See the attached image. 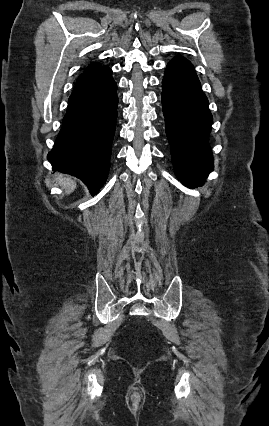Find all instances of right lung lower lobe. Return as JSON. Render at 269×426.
<instances>
[{"label": "right lung lower lobe", "instance_id": "obj_1", "mask_svg": "<svg viewBox=\"0 0 269 426\" xmlns=\"http://www.w3.org/2000/svg\"><path fill=\"white\" fill-rule=\"evenodd\" d=\"M116 89L107 66L80 74L62 128L48 154L53 169L81 179L92 195L108 177L117 119Z\"/></svg>", "mask_w": 269, "mask_h": 426}]
</instances>
